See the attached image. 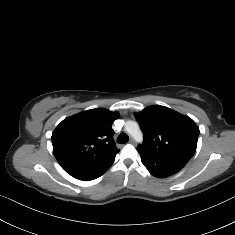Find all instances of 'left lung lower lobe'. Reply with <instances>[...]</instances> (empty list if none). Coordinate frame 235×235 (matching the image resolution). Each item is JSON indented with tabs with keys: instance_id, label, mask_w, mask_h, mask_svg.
I'll return each instance as SVG.
<instances>
[{
	"instance_id": "obj_1",
	"label": "left lung lower lobe",
	"mask_w": 235,
	"mask_h": 235,
	"mask_svg": "<svg viewBox=\"0 0 235 235\" xmlns=\"http://www.w3.org/2000/svg\"><path fill=\"white\" fill-rule=\"evenodd\" d=\"M141 161L148 171L157 178L169 177L180 171L185 165L176 161L153 157L140 153Z\"/></svg>"
}]
</instances>
